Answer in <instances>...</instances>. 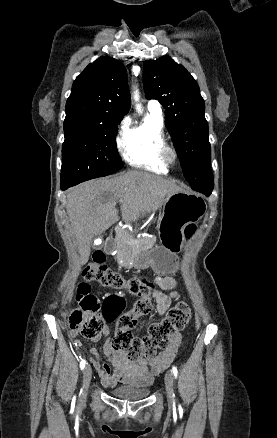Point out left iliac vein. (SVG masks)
Listing matches in <instances>:
<instances>
[{
    "label": "left iliac vein",
    "instance_id": "4c4485c4",
    "mask_svg": "<svg viewBox=\"0 0 277 438\" xmlns=\"http://www.w3.org/2000/svg\"><path fill=\"white\" fill-rule=\"evenodd\" d=\"M174 377L172 371H168L165 375V387L167 393V399L170 404L174 401Z\"/></svg>",
    "mask_w": 277,
    "mask_h": 438
}]
</instances>
